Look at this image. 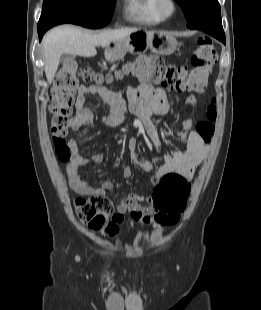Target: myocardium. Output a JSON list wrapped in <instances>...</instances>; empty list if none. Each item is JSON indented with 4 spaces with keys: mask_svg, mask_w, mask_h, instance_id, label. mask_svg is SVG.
Segmentation results:
<instances>
[{
    "mask_svg": "<svg viewBox=\"0 0 261 310\" xmlns=\"http://www.w3.org/2000/svg\"><path fill=\"white\" fill-rule=\"evenodd\" d=\"M156 10L163 19L171 18L177 11L175 0H155Z\"/></svg>",
    "mask_w": 261,
    "mask_h": 310,
    "instance_id": "obj_1",
    "label": "myocardium"
}]
</instances>
